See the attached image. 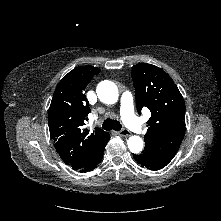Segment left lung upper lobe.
Masks as SVG:
<instances>
[{
    "label": "left lung upper lobe",
    "instance_id": "obj_1",
    "mask_svg": "<svg viewBox=\"0 0 221 221\" xmlns=\"http://www.w3.org/2000/svg\"><path fill=\"white\" fill-rule=\"evenodd\" d=\"M136 105L151 112L144 136V152L169 163L177 153L185 134V102L170 76L161 68L140 63L132 69Z\"/></svg>",
    "mask_w": 221,
    "mask_h": 221
}]
</instances>
